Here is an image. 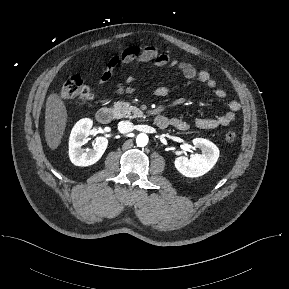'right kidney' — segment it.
I'll return each mask as SVG.
<instances>
[{
  "label": "right kidney",
  "instance_id": "right-kidney-1",
  "mask_svg": "<svg viewBox=\"0 0 289 289\" xmlns=\"http://www.w3.org/2000/svg\"><path fill=\"white\" fill-rule=\"evenodd\" d=\"M93 121L85 118L78 121L70 134L69 138V157L71 162L76 166H90L96 163L104 154L108 139L97 137L93 142L91 149H83L82 145L88 140Z\"/></svg>",
  "mask_w": 289,
  "mask_h": 289
}]
</instances>
